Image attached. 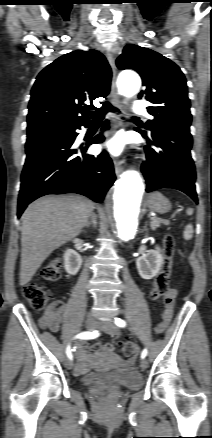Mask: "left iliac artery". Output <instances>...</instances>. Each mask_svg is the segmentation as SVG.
<instances>
[{
	"mask_svg": "<svg viewBox=\"0 0 212 438\" xmlns=\"http://www.w3.org/2000/svg\"><path fill=\"white\" fill-rule=\"evenodd\" d=\"M114 323L119 326V327H125L126 326V322L120 318H115ZM147 349H144L141 353V358H145L147 356Z\"/></svg>",
	"mask_w": 212,
	"mask_h": 438,
	"instance_id": "obj_1",
	"label": "left iliac artery"
}]
</instances>
